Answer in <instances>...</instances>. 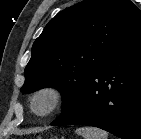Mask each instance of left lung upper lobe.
<instances>
[{
	"label": "left lung upper lobe",
	"mask_w": 141,
	"mask_h": 139,
	"mask_svg": "<svg viewBox=\"0 0 141 139\" xmlns=\"http://www.w3.org/2000/svg\"><path fill=\"white\" fill-rule=\"evenodd\" d=\"M141 30V11L130 0H84L58 13L32 47L21 91L56 87L64 112L89 74Z\"/></svg>",
	"instance_id": "5c2ea615"
}]
</instances>
